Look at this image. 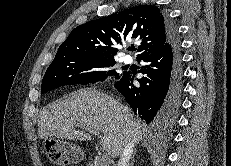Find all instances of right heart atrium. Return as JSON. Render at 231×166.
Here are the masks:
<instances>
[{"label": "right heart atrium", "instance_id": "right-heart-atrium-1", "mask_svg": "<svg viewBox=\"0 0 231 166\" xmlns=\"http://www.w3.org/2000/svg\"><path fill=\"white\" fill-rule=\"evenodd\" d=\"M90 76H91L92 78H96L97 72H96L95 70H92V71L90 72Z\"/></svg>", "mask_w": 231, "mask_h": 166}]
</instances>
